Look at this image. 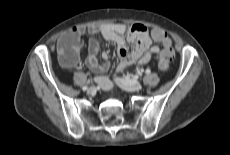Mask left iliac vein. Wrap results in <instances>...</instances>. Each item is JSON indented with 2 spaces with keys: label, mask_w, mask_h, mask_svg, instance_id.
<instances>
[{
  "label": "left iliac vein",
  "mask_w": 230,
  "mask_h": 155,
  "mask_svg": "<svg viewBox=\"0 0 230 155\" xmlns=\"http://www.w3.org/2000/svg\"><path fill=\"white\" fill-rule=\"evenodd\" d=\"M114 80L119 87L129 92L138 91L142 88L141 83L137 80L128 78H115Z\"/></svg>",
  "instance_id": "obj_1"
}]
</instances>
